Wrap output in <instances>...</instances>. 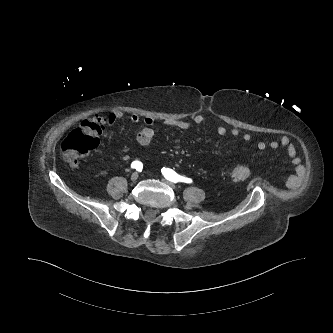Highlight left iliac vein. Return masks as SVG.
<instances>
[{
	"label": "left iliac vein",
	"mask_w": 333,
	"mask_h": 333,
	"mask_svg": "<svg viewBox=\"0 0 333 333\" xmlns=\"http://www.w3.org/2000/svg\"><path fill=\"white\" fill-rule=\"evenodd\" d=\"M162 182L165 183L167 186H169L171 189L176 190V186L172 182H170L166 179H162Z\"/></svg>",
	"instance_id": "1"
}]
</instances>
